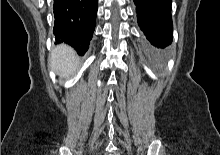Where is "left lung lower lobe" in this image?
I'll list each match as a JSON object with an SVG mask.
<instances>
[{"label": "left lung lower lobe", "mask_w": 220, "mask_h": 155, "mask_svg": "<svg viewBox=\"0 0 220 155\" xmlns=\"http://www.w3.org/2000/svg\"><path fill=\"white\" fill-rule=\"evenodd\" d=\"M138 24L150 43L165 48L173 38L171 0H134Z\"/></svg>", "instance_id": "0a47b994"}]
</instances>
